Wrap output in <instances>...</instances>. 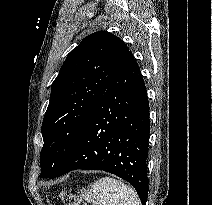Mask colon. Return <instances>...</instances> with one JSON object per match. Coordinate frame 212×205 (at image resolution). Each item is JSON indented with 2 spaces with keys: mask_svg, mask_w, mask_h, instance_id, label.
<instances>
[{
  "mask_svg": "<svg viewBox=\"0 0 212 205\" xmlns=\"http://www.w3.org/2000/svg\"><path fill=\"white\" fill-rule=\"evenodd\" d=\"M59 198L64 205H79L77 198L67 190L62 191Z\"/></svg>",
  "mask_w": 212,
  "mask_h": 205,
  "instance_id": "colon-1",
  "label": "colon"
}]
</instances>
